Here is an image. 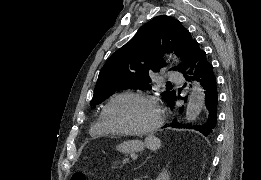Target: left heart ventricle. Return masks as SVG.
Instances as JSON below:
<instances>
[{
    "label": "left heart ventricle",
    "mask_w": 261,
    "mask_h": 180,
    "mask_svg": "<svg viewBox=\"0 0 261 180\" xmlns=\"http://www.w3.org/2000/svg\"><path fill=\"white\" fill-rule=\"evenodd\" d=\"M106 117L117 132L144 133L152 124L154 106L141 97L127 96L114 102L108 108Z\"/></svg>",
    "instance_id": "b2bd125f"
}]
</instances>
